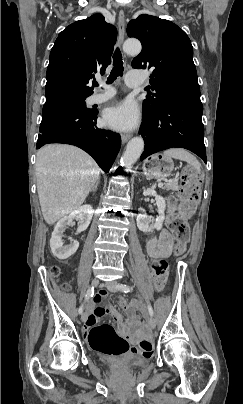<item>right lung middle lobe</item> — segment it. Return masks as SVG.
I'll list each match as a JSON object with an SVG mask.
<instances>
[{
  "mask_svg": "<svg viewBox=\"0 0 243 404\" xmlns=\"http://www.w3.org/2000/svg\"><path fill=\"white\" fill-rule=\"evenodd\" d=\"M85 99L86 97L67 98L45 104L42 111V118L68 108H82L91 111V109L86 108Z\"/></svg>",
  "mask_w": 243,
  "mask_h": 404,
  "instance_id": "obj_1",
  "label": "right lung middle lobe"
}]
</instances>
